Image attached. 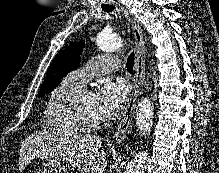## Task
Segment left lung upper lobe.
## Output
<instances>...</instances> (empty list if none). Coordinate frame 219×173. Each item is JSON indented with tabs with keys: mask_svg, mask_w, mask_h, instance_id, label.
Returning a JSON list of instances; mask_svg holds the SVG:
<instances>
[{
	"mask_svg": "<svg viewBox=\"0 0 219 173\" xmlns=\"http://www.w3.org/2000/svg\"><path fill=\"white\" fill-rule=\"evenodd\" d=\"M83 46V42L72 43L69 45V47L59 52L48 68L38 97H42L50 92L53 88L58 86L63 76L79 66V60L81 52L83 51Z\"/></svg>",
	"mask_w": 219,
	"mask_h": 173,
	"instance_id": "left-lung-upper-lobe-1",
	"label": "left lung upper lobe"
}]
</instances>
